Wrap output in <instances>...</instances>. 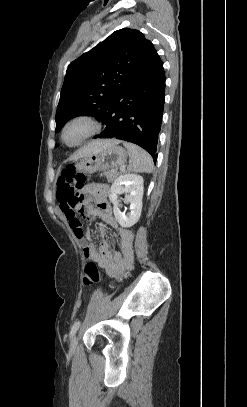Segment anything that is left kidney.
<instances>
[{"label": "left kidney", "instance_id": "5707ae66", "mask_svg": "<svg viewBox=\"0 0 247 407\" xmlns=\"http://www.w3.org/2000/svg\"><path fill=\"white\" fill-rule=\"evenodd\" d=\"M144 180L136 174L120 175L112 184L109 199L113 204V212L117 222L125 228L136 224L142 210V197ZM126 193L125 200L130 203V214L126 216L119 209L118 195Z\"/></svg>", "mask_w": 247, "mask_h": 407}]
</instances>
